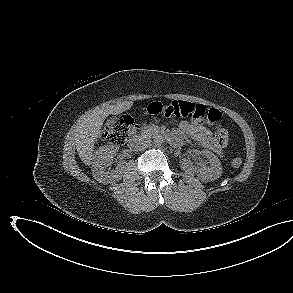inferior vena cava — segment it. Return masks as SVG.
Listing matches in <instances>:
<instances>
[{
  "label": "inferior vena cava",
  "mask_w": 293,
  "mask_h": 293,
  "mask_svg": "<svg viewBox=\"0 0 293 293\" xmlns=\"http://www.w3.org/2000/svg\"><path fill=\"white\" fill-rule=\"evenodd\" d=\"M152 141L150 139L139 138L134 146L136 151H142L151 146Z\"/></svg>",
  "instance_id": "obj_1"
}]
</instances>
